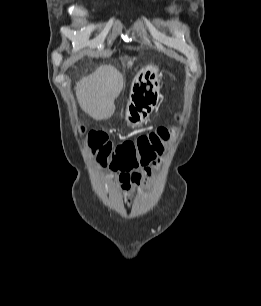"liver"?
Returning a JSON list of instances; mask_svg holds the SVG:
<instances>
[{"label": "liver", "mask_w": 261, "mask_h": 306, "mask_svg": "<svg viewBox=\"0 0 261 306\" xmlns=\"http://www.w3.org/2000/svg\"><path fill=\"white\" fill-rule=\"evenodd\" d=\"M123 75L111 65H103L75 87L81 109L95 120L110 118L115 111V99L123 89Z\"/></svg>", "instance_id": "obj_1"}]
</instances>
